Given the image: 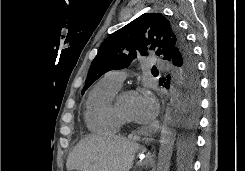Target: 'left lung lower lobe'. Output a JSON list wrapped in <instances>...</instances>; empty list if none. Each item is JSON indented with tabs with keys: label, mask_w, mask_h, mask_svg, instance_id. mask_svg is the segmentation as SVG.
Here are the masks:
<instances>
[{
	"label": "left lung lower lobe",
	"mask_w": 245,
	"mask_h": 171,
	"mask_svg": "<svg viewBox=\"0 0 245 171\" xmlns=\"http://www.w3.org/2000/svg\"><path fill=\"white\" fill-rule=\"evenodd\" d=\"M183 58L177 54V57L173 58L171 62L176 66L174 80L179 92V109L183 126V131L176 137V148L180 159L178 167H189V158L195 144L191 130L198 119L200 88L197 62L182 61ZM167 78L165 87L168 89L171 77L168 76Z\"/></svg>",
	"instance_id": "left-lung-lower-lobe-1"
}]
</instances>
